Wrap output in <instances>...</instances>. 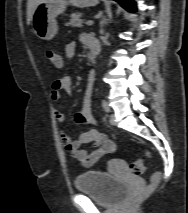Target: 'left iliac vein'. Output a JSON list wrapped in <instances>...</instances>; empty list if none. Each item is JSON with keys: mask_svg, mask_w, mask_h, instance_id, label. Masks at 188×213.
<instances>
[{"mask_svg": "<svg viewBox=\"0 0 188 213\" xmlns=\"http://www.w3.org/2000/svg\"><path fill=\"white\" fill-rule=\"evenodd\" d=\"M109 122H110V124L111 125H116V122H115V115L114 114H111L110 116H109Z\"/></svg>", "mask_w": 188, "mask_h": 213, "instance_id": "obj_1", "label": "left iliac vein"}]
</instances>
